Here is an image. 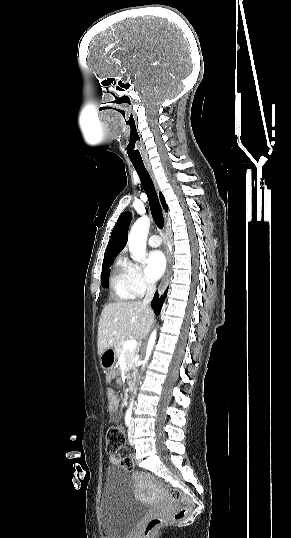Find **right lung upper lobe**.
<instances>
[{
  "label": "right lung upper lobe",
  "instance_id": "obj_1",
  "mask_svg": "<svg viewBox=\"0 0 291 538\" xmlns=\"http://www.w3.org/2000/svg\"><path fill=\"white\" fill-rule=\"evenodd\" d=\"M159 195H160L162 206L164 210L167 212L168 206L165 202V199L161 192L159 193ZM131 219H132V214L129 211H126L119 216L117 223L112 230L110 240L106 248L104 261L115 259L117 254L125 247L127 243L128 228H129Z\"/></svg>",
  "mask_w": 291,
  "mask_h": 538
}]
</instances>
